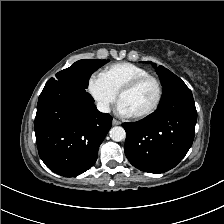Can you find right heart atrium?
Segmentation results:
<instances>
[{
  "instance_id": "right-heart-atrium-1",
  "label": "right heart atrium",
  "mask_w": 224,
  "mask_h": 224,
  "mask_svg": "<svg viewBox=\"0 0 224 224\" xmlns=\"http://www.w3.org/2000/svg\"><path fill=\"white\" fill-rule=\"evenodd\" d=\"M87 89L98 108L103 112L109 111L116 100V93L108 86L102 76L92 75L88 79Z\"/></svg>"
}]
</instances>
